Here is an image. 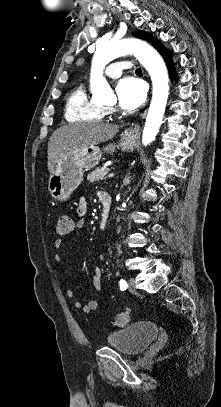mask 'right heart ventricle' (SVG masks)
<instances>
[{"instance_id":"obj_1","label":"right heart ventricle","mask_w":221,"mask_h":407,"mask_svg":"<svg viewBox=\"0 0 221 407\" xmlns=\"http://www.w3.org/2000/svg\"><path fill=\"white\" fill-rule=\"evenodd\" d=\"M107 114L108 110L88 95L83 83L75 85L67 96L65 118L69 122L101 121Z\"/></svg>"}]
</instances>
